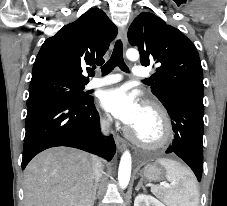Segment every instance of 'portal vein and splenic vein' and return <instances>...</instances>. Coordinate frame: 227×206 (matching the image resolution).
Here are the masks:
<instances>
[{
  "label": "portal vein and splenic vein",
  "mask_w": 227,
  "mask_h": 206,
  "mask_svg": "<svg viewBox=\"0 0 227 206\" xmlns=\"http://www.w3.org/2000/svg\"><path fill=\"white\" fill-rule=\"evenodd\" d=\"M163 186L164 187H168L169 185L167 183H163Z\"/></svg>",
  "instance_id": "18ae733b"
}]
</instances>
